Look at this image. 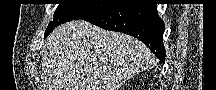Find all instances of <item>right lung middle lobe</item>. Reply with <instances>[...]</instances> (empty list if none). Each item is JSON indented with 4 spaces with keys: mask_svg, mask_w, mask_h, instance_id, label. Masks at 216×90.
I'll return each mask as SVG.
<instances>
[{
    "mask_svg": "<svg viewBox=\"0 0 216 90\" xmlns=\"http://www.w3.org/2000/svg\"><path fill=\"white\" fill-rule=\"evenodd\" d=\"M114 4H86V3H69L60 4L54 13L53 20L48 24L45 31V38L52 32L57 26L65 22L84 19L89 16L98 14L106 9L110 8Z\"/></svg>",
    "mask_w": 216,
    "mask_h": 90,
    "instance_id": "obj_1",
    "label": "right lung middle lobe"
}]
</instances>
